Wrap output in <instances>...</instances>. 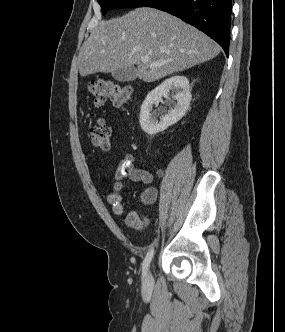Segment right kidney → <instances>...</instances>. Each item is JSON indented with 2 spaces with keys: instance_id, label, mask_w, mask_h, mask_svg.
Instances as JSON below:
<instances>
[{
  "instance_id": "ca27d5eb",
  "label": "right kidney",
  "mask_w": 285,
  "mask_h": 332,
  "mask_svg": "<svg viewBox=\"0 0 285 332\" xmlns=\"http://www.w3.org/2000/svg\"><path fill=\"white\" fill-rule=\"evenodd\" d=\"M176 100V105L169 113L157 120V114L152 112L153 105L162 96H168ZM189 80L185 76H173L166 79L158 87L148 93L141 105L140 125L149 135H154L166 130L169 126L177 123L187 112L191 101Z\"/></svg>"
}]
</instances>
